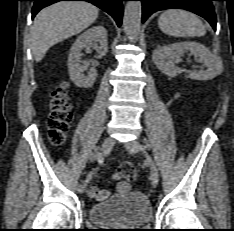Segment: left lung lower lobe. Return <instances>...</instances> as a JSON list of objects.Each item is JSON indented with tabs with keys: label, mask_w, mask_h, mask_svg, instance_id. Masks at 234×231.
<instances>
[{
	"label": "left lung lower lobe",
	"mask_w": 234,
	"mask_h": 231,
	"mask_svg": "<svg viewBox=\"0 0 234 231\" xmlns=\"http://www.w3.org/2000/svg\"><path fill=\"white\" fill-rule=\"evenodd\" d=\"M142 2V22L152 13L168 8H181L205 18L216 30V16L212 1L215 0H139Z\"/></svg>",
	"instance_id": "obj_1"
}]
</instances>
